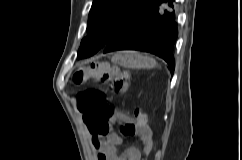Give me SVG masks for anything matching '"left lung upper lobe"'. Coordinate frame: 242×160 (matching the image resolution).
<instances>
[{
	"instance_id": "obj_1",
	"label": "left lung upper lobe",
	"mask_w": 242,
	"mask_h": 160,
	"mask_svg": "<svg viewBox=\"0 0 242 160\" xmlns=\"http://www.w3.org/2000/svg\"><path fill=\"white\" fill-rule=\"evenodd\" d=\"M153 0H93L87 37L81 41L78 58L94 55L132 24Z\"/></svg>"
}]
</instances>
